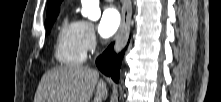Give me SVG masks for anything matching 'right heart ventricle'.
<instances>
[{
	"mask_svg": "<svg viewBox=\"0 0 221 102\" xmlns=\"http://www.w3.org/2000/svg\"><path fill=\"white\" fill-rule=\"evenodd\" d=\"M55 57L63 65L76 66L85 61L78 21L64 18L60 23L55 40Z\"/></svg>",
	"mask_w": 221,
	"mask_h": 102,
	"instance_id": "1",
	"label": "right heart ventricle"
}]
</instances>
